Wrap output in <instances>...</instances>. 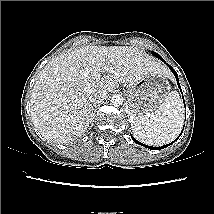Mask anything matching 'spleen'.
<instances>
[{"label": "spleen", "instance_id": "obj_1", "mask_svg": "<svg viewBox=\"0 0 214 214\" xmlns=\"http://www.w3.org/2000/svg\"><path fill=\"white\" fill-rule=\"evenodd\" d=\"M184 108L177 91H172L152 114L139 115L131 121L136 139L154 146L173 141L181 132Z\"/></svg>", "mask_w": 214, "mask_h": 214}]
</instances>
